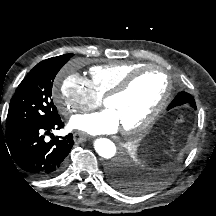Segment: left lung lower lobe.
I'll return each mask as SVG.
<instances>
[{
    "mask_svg": "<svg viewBox=\"0 0 216 216\" xmlns=\"http://www.w3.org/2000/svg\"><path fill=\"white\" fill-rule=\"evenodd\" d=\"M182 93L183 92H180L169 104L168 110L176 106L183 105L187 102L189 97ZM108 172L112 184L118 190L125 193H130L135 190L134 184L132 183V178L129 175H126L120 166L113 164L109 168Z\"/></svg>",
    "mask_w": 216,
    "mask_h": 216,
    "instance_id": "left-lung-lower-lobe-1",
    "label": "left lung lower lobe"
}]
</instances>
